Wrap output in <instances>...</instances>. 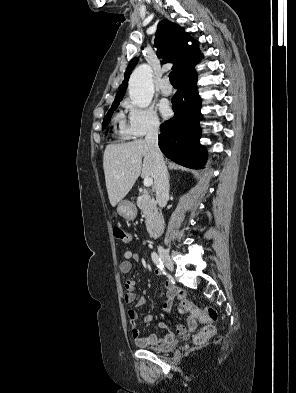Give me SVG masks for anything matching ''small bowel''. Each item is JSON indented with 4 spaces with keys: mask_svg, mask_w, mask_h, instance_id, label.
I'll return each instance as SVG.
<instances>
[{
    "mask_svg": "<svg viewBox=\"0 0 296 393\" xmlns=\"http://www.w3.org/2000/svg\"><path fill=\"white\" fill-rule=\"evenodd\" d=\"M140 258V255L138 253H134L132 251H126L124 253V258L123 260L119 263V271L122 274H128L131 269H132V263L133 261H138ZM157 273H160L159 271H156ZM125 290L126 293L124 295V302L126 304H132L135 303L136 306H141L144 305L147 302V299L144 297L139 298L136 300V294H135V286L136 283L134 280H127L125 282ZM165 288H166V295H165V300L163 304V312L167 313L169 312L172 302L175 298H178L179 300H186V294L185 292L180 289L179 287L173 285L170 282L165 283ZM128 319L129 323L131 326V333L132 336L135 340V343L138 346L145 347L149 345H156V346H164L172 341H174L175 335L174 333L167 332L163 337H158L156 334H150L148 336H142L141 331L139 330L137 326L138 322V314L135 310L130 309L128 310ZM152 316H146L144 318L145 322H151L152 321ZM198 322L197 319L194 318L193 316H189L187 320V324H179L176 326V334L178 335H184L189 332H193L197 329ZM160 327L163 328L164 324H160Z\"/></svg>",
    "mask_w": 296,
    "mask_h": 393,
    "instance_id": "c3829d8e",
    "label": "small bowel"
}]
</instances>
